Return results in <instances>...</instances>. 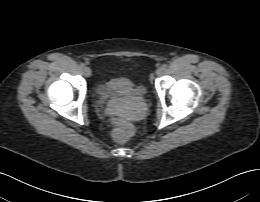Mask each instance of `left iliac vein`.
I'll return each mask as SVG.
<instances>
[{
  "mask_svg": "<svg viewBox=\"0 0 260 202\" xmlns=\"http://www.w3.org/2000/svg\"><path fill=\"white\" fill-rule=\"evenodd\" d=\"M156 76H161L162 74H163V69H162V67H159V68H157V70H156Z\"/></svg>",
  "mask_w": 260,
  "mask_h": 202,
  "instance_id": "1",
  "label": "left iliac vein"
}]
</instances>
